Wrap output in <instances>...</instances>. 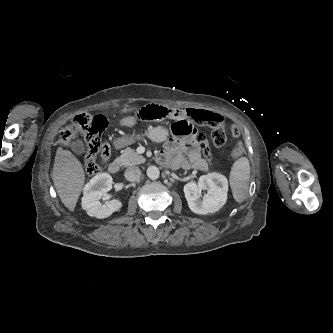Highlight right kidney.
Returning a JSON list of instances; mask_svg holds the SVG:
<instances>
[{"label": "right kidney", "mask_w": 333, "mask_h": 333, "mask_svg": "<svg viewBox=\"0 0 333 333\" xmlns=\"http://www.w3.org/2000/svg\"><path fill=\"white\" fill-rule=\"evenodd\" d=\"M112 182L111 175L99 173L84 186L81 205L89 216L103 219L122 207L121 201L117 199L100 202L104 194L112 189Z\"/></svg>", "instance_id": "ca27d5eb"}]
</instances>
